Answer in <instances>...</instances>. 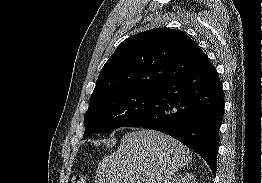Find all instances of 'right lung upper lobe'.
<instances>
[{"mask_svg":"<svg viewBox=\"0 0 262 183\" xmlns=\"http://www.w3.org/2000/svg\"><path fill=\"white\" fill-rule=\"evenodd\" d=\"M208 62L195 41L180 30L141 32L123 41L105 63L91 99L124 89H158Z\"/></svg>","mask_w":262,"mask_h":183,"instance_id":"obj_1","label":"right lung upper lobe"}]
</instances>
